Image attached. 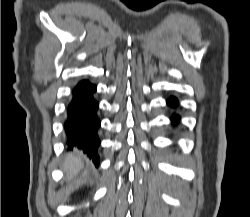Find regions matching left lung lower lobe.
<instances>
[{
	"label": "left lung lower lobe",
	"instance_id": "0a47b994",
	"mask_svg": "<svg viewBox=\"0 0 250 217\" xmlns=\"http://www.w3.org/2000/svg\"><path fill=\"white\" fill-rule=\"evenodd\" d=\"M167 104H168L169 106L175 107V106L178 104V101H177L176 98L171 97L170 99L167 100ZM172 120H173L174 123H176V122L178 121V116H175V115H174V116L172 117Z\"/></svg>",
	"mask_w": 250,
	"mask_h": 217
}]
</instances>
